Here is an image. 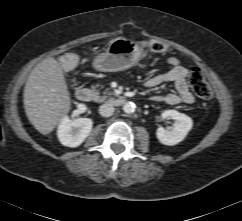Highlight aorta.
Returning <instances> with one entry per match:
<instances>
[{
  "mask_svg": "<svg viewBox=\"0 0 242 221\" xmlns=\"http://www.w3.org/2000/svg\"><path fill=\"white\" fill-rule=\"evenodd\" d=\"M135 108H136V105L133 103V102H126L124 105H123V111L126 113V114H131L135 111Z\"/></svg>",
  "mask_w": 242,
  "mask_h": 221,
  "instance_id": "aorta-1",
  "label": "aorta"
}]
</instances>
